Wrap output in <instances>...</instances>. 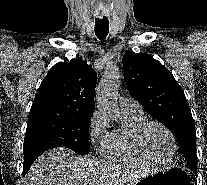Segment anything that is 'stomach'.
Returning a JSON list of instances; mask_svg holds the SVG:
<instances>
[{
    "mask_svg": "<svg viewBox=\"0 0 207 185\" xmlns=\"http://www.w3.org/2000/svg\"><path fill=\"white\" fill-rule=\"evenodd\" d=\"M137 185H190V177L181 167H169L141 179Z\"/></svg>",
    "mask_w": 207,
    "mask_h": 185,
    "instance_id": "1",
    "label": "stomach"
}]
</instances>
